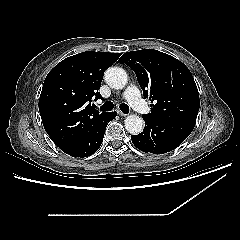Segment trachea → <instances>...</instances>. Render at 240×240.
I'll return each instance as SVG.
<instances>
[{
  "instance_id": "3493384b",
  "label": "trachea",
  "mask_w": 240,
  "mask_h": 240,
  "mask_svg": "<svg viewBox=\"0 0 240 240\" xmlns=\"http://www.w3.org/2000/svg\"><path fill=\"white\" fill-rule=\"evenodd\" d=\"M114 108V104L110 101L104 103L101 107H100V110L101 111H111L112 109ZM120 110L124 113H129V106L126 105V104H121L119 106Z\"/></svg>"
}]
</instances>
